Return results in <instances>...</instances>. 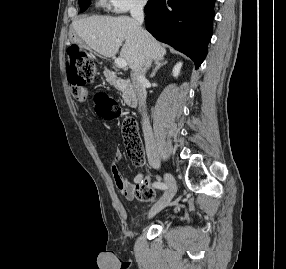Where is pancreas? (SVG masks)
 Returning <instances> with one entry per match:
<instances>
[{"label":"pancreas","mask_w":286,"mask_h":269,"mask_svg":"<svg viewBox=\"0 0 286 269\" xmlns=\"http://www.w3.org/2000/svg\"><path fill=\"white\" fill-rule=\"evenodd\" d=\"M104 75L106 77L107 82L110 85H113L117 88L121 86L120 80H116V73L115 72L105 70Z\"/></svg>","instance_id":"cf45deb5"}]
</instances>
